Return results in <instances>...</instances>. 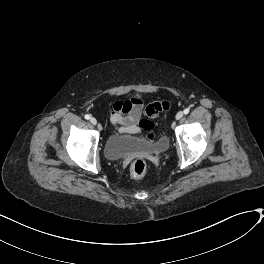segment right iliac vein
<instances>
[{
  "label": "right iliac vein",
  "instance_id": "63e3f726",
  "mask_svg": "<svg viewBox=\"0 0 264 264\" xmlns=\"http://www.w3.org/2000/svg\"><path fill=\"white\" fill-rule=\"evenodd\" d=\"M90 122H91L93 125H96V124H97V120H96L94 117H91Z\"/></svg>",
  "mask_w": 264,
  "mask_h": 264
}]
</instances>
